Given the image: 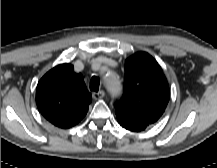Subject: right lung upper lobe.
Segmentation results:
<instances>
[{
    "label": "right lung upper lobe",
    "mask_w": 217,
    "mask_h": 168,
    "mask_svg": "<svg viewBox=\"0 0 217 168\" xmlns=\"http://www.w3.org/2000/svg\"><path fill=\"white\" fill-rule=\"evenodd\" d=\"M92 98L81 74L70 64H60L38 82L36 104L40 113L52 124L67 129L86 115Z\"/></svg>",
    "instance_id": "cb5924a9"
}]
</instances>
